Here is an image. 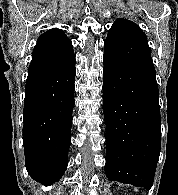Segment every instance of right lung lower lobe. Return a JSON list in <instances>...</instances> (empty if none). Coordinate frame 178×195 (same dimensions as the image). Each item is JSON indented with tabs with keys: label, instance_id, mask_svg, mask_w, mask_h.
I'll use <instances>...</instances> for the list:
<instances>
[{
	"label": "right lung lower lobe",
	"instance_id": "98d812e1",
	"mask_svg": "<svg viewBox=\"0 0 178 195\" xmlns=\"http://www.w3.org/2000/svg\"><path fill=\"white\" fill-rule=\"evenodd\" d=\"M75 61L28 72L23 146L28 174L43 185L59 180L68 165L74 107Z\"/></svg>",
	"mask_w": 178,
	"mask_h": 195
}]
</instances>
